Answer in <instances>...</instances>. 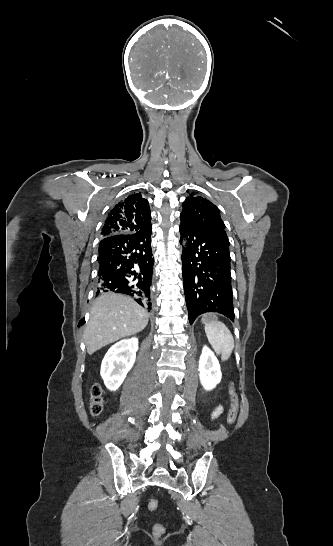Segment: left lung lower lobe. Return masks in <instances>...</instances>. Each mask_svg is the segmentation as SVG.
<instances>
[{"label":"left lung lower lobe","mask_w":333,"mask_h":546,"mask_svg":"<svg viewBox=\"0 0 333 546\" xmlns=\"http://www.w3.org/2000/svg\"><path fill=\"white\" fill-rule=\"evenodd\" d=\"M182 274L190 324L203 313L234 320L229 240L225 230L201 227L180 217Z\"/></svg>","instance_id":"left-lung-lower-lobe-1"}]
</instances>
